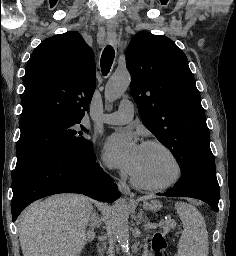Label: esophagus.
<instances>
[{
	"label": "esophagus",
	"mask_w": 236,
	"mask_h": 256,
	"mask_svg": "<svg viewBox=\"0 0 236 256\" xmlns=\"http://www.w3.org/2000/svg\"><path fill=\"white\" fill-rule=\"evenodd\" d=\"M109 39L114 42L116 40V35L112 34L109 35ZM118 188L121 191L122 194L130 196V197H134L135 193L131 192L129 186L127 185V183L125 181L120 180L118 182Z\"/></svg>",
	"instance_id": "34e87169"
}]
</instances>
